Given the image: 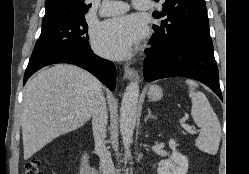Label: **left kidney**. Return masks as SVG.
Returning <instances> with one entry per match:
<instances>
[{
	"instance_id": "1",
	"label": "left kidney",
	"mask_w": 249,
	"mask_h": 174,
	"mask_svg": "<svg viewBox=\"0 0 249 174\" xmlns=\"http://www.w3.org/2000/svg\"><path fill=\"white\" fill-rule=\"evenodd\" d=\"M176 141L171 139L169 147L173 150L170 159L162 160L158 164V174H187L188 158L176 151Z\"/></svg>"
}]
</instances>
